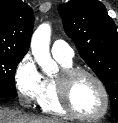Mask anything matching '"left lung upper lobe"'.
Returning a JSON list of instances; mask_svg holds the SVG:
<instances>
[{"label":"left lung upper lobe","instance_id":"1","mask_svg":"<svg viewBox=\"0 0 118 123\" xmlns=\"http://www.w3.org/2000/svg\"><path fill=\"white\" fill-rule=\"evenodd\" d=\"M64 29L82 59L105 85L111 116L118 120V32L98 0H70L58 6Z\"/></svg>","mask_w":118,"mask_h":123}]
</instances>
